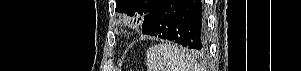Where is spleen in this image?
I'll list each match as a JSON object with an SVG mask.
<instances>
[{
	"label": "spleen",
	"mask_w": 301,
	"mask_h": 71,
	"mask_svg": "<svg viewBox=\"0 0 301 71\" xmlns=\"http://www.w3.org/2000/svg\"><path fill=\"white\" fill-rule=\"evenodd\" d=\"M148 71H200L194 55L177 45L156 44L146 52Z\"/></svg>",
	"instance_id": "1"
}]
</instances>
